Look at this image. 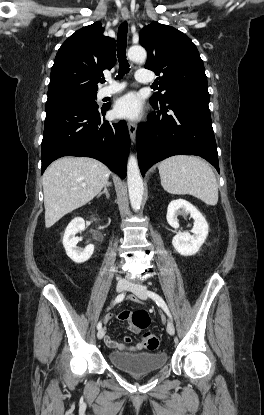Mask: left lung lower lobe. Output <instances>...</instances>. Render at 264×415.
Segmentation results:
<instances>
[{
    "instance_id": "obj_1",
    "label": "left lung lower lobe",
    "mask_w": 264,
    "mask_h": 415,
    "mask_svg": "<svg viewBox=\"0 0 264 415\" xmlns=\"http://www.w3.org/2000/svg\"><path fill=\"white\" fill-rule=\"evenodd\" d=\"M209 96L184 94L157 109L145 124L137 128V154L142 176L153 164L173 155H198L219 172Z\"/></svg>"
}]
</instances>
